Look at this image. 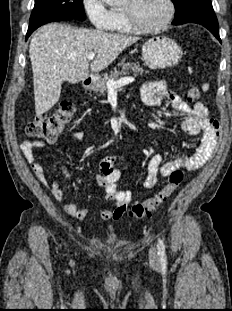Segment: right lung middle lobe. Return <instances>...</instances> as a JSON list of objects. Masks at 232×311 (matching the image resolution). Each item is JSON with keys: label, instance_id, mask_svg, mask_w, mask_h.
<instances>
[{"label": "right lung middle lobe", "instance_id": "1", "mask_svg": "<svg viewBox=\"0 0 232 311\" xmlns=\"http://www.w3.org/2000/svg\"><path fill=\"white\" fill-rule=\"evenodd\" d=\"M52 17L85 20L83 0H35L30 24Z\"/></svg>", "mask_w": 232, "mask_h": 311}]
</instances>
